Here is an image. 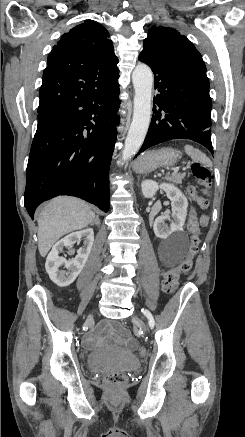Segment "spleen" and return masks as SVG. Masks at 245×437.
I'll return each mask as SVG.
<instances>
[{"mask_svg":"<svg viewBox=\"0 0 245 437\" xmlns=\"http://www.w3.org/2000/svg\"><path fill=\"white\" fill-rule=\"evenodd\" d=\"M184 149H185V152L189 156H191V158L193 160H196V161H199L202 163L208 162L207 156L203 152H201L199 149H196L191 145H185Z\"/></svg>","mask_w":245,"mask_h":437,"instance_id":"obj_1","label":"spleen"}]
</instances>
